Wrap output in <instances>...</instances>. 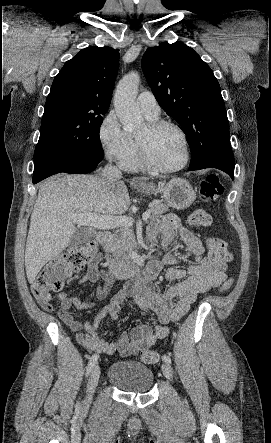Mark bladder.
I'll return each mask as SVG.
<instances>
[{"instance_id":"bladder-1","label":"bladder","mask_w":271,"mask_h":443,"mask_svg":"<svg viewBox=\"0 0 271 443\" xmlns=\"http://www.w3.org/2000/svg\"><path fill=\"white\" fill-rule=\"evenodd\" d=\"M108 379L123 391L139 394L146 393L152 388L154 375L143 363L120 360L110 366Z\"/></svg>"}]
</instances>
